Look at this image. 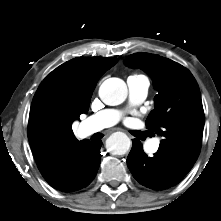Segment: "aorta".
<instances>
[{
    "mask_svg": "<svg viewBox=\"0 0 221 221\" xmlns=\"http://www.w3.org/2000/svg\"><path fill=\"white\" fill-rule=\"evenodd\" d=\"M99 96L107 105H119L127 97L126 83L120 78H109L99 88ZM131 145L128 136L122 132L112 134L107 140V148L116 155L127 153Z\"/></svg>",
    "mask_w": 221,
    "mask_h": 221,
    "instance_id": "aorta-1",
    "label": "aorta"
}]
</instances>
